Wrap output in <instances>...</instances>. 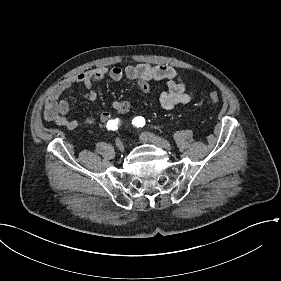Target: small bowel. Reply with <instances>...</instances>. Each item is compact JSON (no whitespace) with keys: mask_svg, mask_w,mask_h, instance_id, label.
I'll list each match as a JSON object with an SVG mask.
<instances>
[{"mask_svg":"<svg viewBox=\"0 0 281 281\" xmlns=\"http://www.w3.org/2000/svg\"><path fill=\"white\" fill-rule=\"evenodd\" d=\"M106 77L114 81H120L123 78L137 80L140 90L144 93H147L150 89L148 84L150 80H166L168 90L160 96V104L166 110H172L180 104H186L192 98V91L187 88L177 70L171 66H152L142 63L127 65L124 68L119 66L111 68L100 67L75 74L62 80L52 96L46 101L45 119L68 130H76L96 123L106 124L109 122L111 120V114L107 111L84 119L69 117L70 103L66 96V92L72 85L79 84L82 86L84 99L88 102H94L97 99V92L94 90L93 85ZM113 108L120 115H124L128 113L130 105L127 101H115Z\"/></svg>","mask_w":281,"mask_h":281,"instance_id":"c3829d8e","label":"small bowel"}]
</instances>
